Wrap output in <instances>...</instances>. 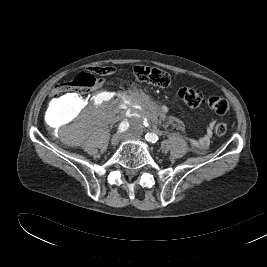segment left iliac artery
<instances>
[{
	"mask_svg": "<svg viewBox=\"0 0 267 267\" xmlns=\"http://www.w3.org/2000/svg\"><path fill=\"white\" fill-rule=\"evenodd\" d=\"M145 139L150 143H156L159 140V137L154 133H147Z\"/></svg>",
	"mask_w": 267,
	"mask_h": 267,
	"instance_id": "1",
	"label": "left iliac artery"
}]
</instances>
